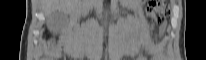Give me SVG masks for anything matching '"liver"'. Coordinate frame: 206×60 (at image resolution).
Here are the masks:
<instances>
[{
    "label": "liver",
    "instance_id": "liver-1",
    "mask_svg": "<svg viewBox=\"0 0 206 60\" xmlns=\"http://www.w3.org/2000/svg\"><path fill=\"white\" fill-rule=\"evenodd\" d=\"M83 0H42V7L47 15L55 11L65 14L74 10Z\"/></svg>",
    "mask_w": 206,
    "mask_h": 60
}]
</instances>
